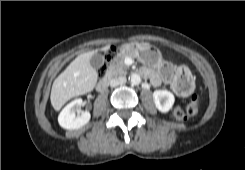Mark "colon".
I'll return each instance as SVG.
<instances>
[{"instance_id": "colon-1", "label": "colon", "mask_w": 245, "mask_h": 170, "mask_svg": "<svg viewBox=\"0 0 245 170\" xmlns=\"http://www.w3.org/2000/svg\"><path fill=\"white\" fill-rule=\"evenodd\" d=\"M115 55V50L111 48L106 55V63L99 69V76L102 77L106 72L107 63L112 60ZM177 79L175 78L172 83L175 84ZM199 109V97L194 95L190 102L187 104L186 108L178 106L173 111V117L178 122H184L189 117L194 116L198 113Z\"/></svg>"}]
</instances>
